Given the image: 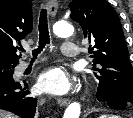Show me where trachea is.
<instances>
[{"mask_svg":"<svg viewBox=\"0 0 133 118\" xmlns=\"http://www.w3.org/2000/svg\"><path fill=\"white\" fill-rule=\"evenodd\" d=\"M39 46L35 49L32 54L33 58H36L37 55L42 51L46 44L50 43L49 29H48V18H47V10L42 9L39 18ZM20 51L24 52L23 48Z\"/></svg>","mask_w":133,"mask_h":118,"instance_id":"obj_1","label":"trachea"}]
</instances>
